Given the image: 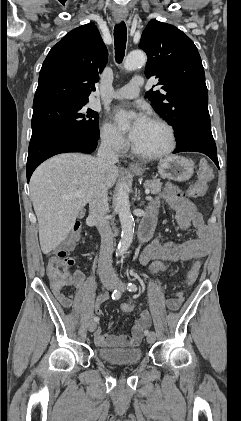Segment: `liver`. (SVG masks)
Here are the masks:
<instances>
[{
	"mask_svg": "<svg viewBox=\"0 0 241 421\" xmlns=\"http://www.w3.org/2000/svg\"><path fill=\"white\" fill-rule=\"evenodd\" d=\"M119 170L110 166L101 171L95 157L80 153L54 156L41 164L30 180V194L39 224V240L44 254L59 246L71 231L79 212L101 184L112 188ZM81 191V198H63Z\"/></svg>",
	"mask_w": 241,
	"mask_h": 421,
	"instance_id": "6515ba94",
	"label": "liver"
}]
</instances>
